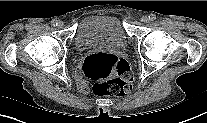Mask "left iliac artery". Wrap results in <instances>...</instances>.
<instances>
[{
	"instance_id": "1",
	"label": "left iliac artery",
	"mask_w": 207,
	"mask_h": 123,
	"mask_svg": "<svg viewBox=\"0 0 207 123\" xmlns=\"http://www.w3.org/2000/svg\"><path fill=\"white\" fill-rule=\"evenodd\" d=\"M148 19L150 21H154V20H156V15L155 14H150L149 17H148Z\"/></svg>"
}]
</instances>
